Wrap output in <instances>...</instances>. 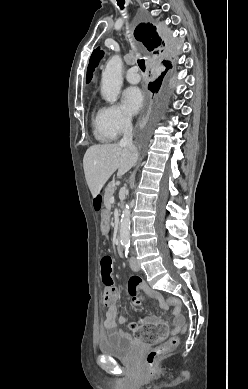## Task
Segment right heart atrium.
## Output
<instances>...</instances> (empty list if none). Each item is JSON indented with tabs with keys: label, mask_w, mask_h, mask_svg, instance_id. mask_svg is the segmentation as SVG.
Masks as SVG:
<instances>
[{
	"label": "right heart atrium",
	"mask_w": 248,
	"mask_h": 389,
	"mask_svg": "<svg viewBox=\"0 0 248 389\" xmlns=\"http://www.w3.org/2000/svg\"><path fill=\"white\" fill-rule=\"evenodd\" d=\"M103 110L108 127L115 137L130 128L131 117L122 107L112 105L105 107Z\"/></svg>",
	"instance_id": "1"
}]
</instances>
